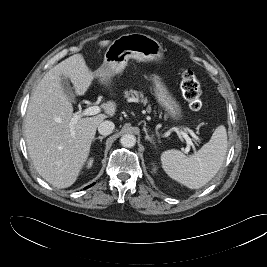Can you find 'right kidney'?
<instances>
[{"mask_svg": "<svg viewBox=\"0 0 267 267\" xmlns=\"http://www.w3.org/2000/svg\"><path fill=\"white\" fill-rule=\"evenodd\" d=\"M93 160H90V162L88 163V167H90L92 165Z\"/></svg>", "mask_w": 267, "mask_h": 267, "instance_id": "right-kidney-1", "label": "right kidney"}]
</instances>
